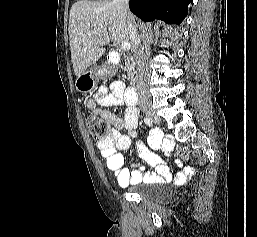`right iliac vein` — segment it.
<instances>
[{
  "mask_svg": "<svg viewBox=\"0 0 257 237\" xmlns=\"http://www.w3.org/2000/svg\"><path fill=\"white\" fill-rule=\"evenodd\" d=\"M145 114L155 123L159 124L160 123V118L158 115L154 112V110L151 107H144L143 108Z\"/></svg>",
  "mask_w": 257,
  "mask_h": 237,
  "instance_id": "1",
  "label": "right iliac vein"
}]
</instances>
